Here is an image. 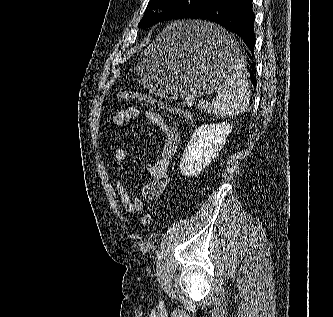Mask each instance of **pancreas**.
Returning a JSON list of instances; mask_svg holds the SVG:
<instances>
[{
  "instance_id": "pancreas-1",
  "label": "pancreas",
  "mask_w": 333,
  "mask_h": 317,
  "mask_svg": "<svg viewBox=\"0 0 333 317\" xmlns=\"http://www.w3.org/2000/svg\"><path fill=\"white\" fill-rule=\"evenodd\" d=\"M207 106H208V105L199 104V108H200V109H204V110H205V109H207Z\"/></svg>"
}]
</instances>
